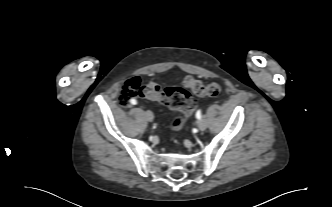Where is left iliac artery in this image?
<instances>
[{
    "mask_svg": "<svg viewBox=\"0 0 332 207\" xmlns=\"http://www.w3.org/2000/svg\"><path fill=\"white\" fill-rule=\"evenodd\" d=\"M201 117H202L201 111L198 110V111L196 112V118H197V119H201Z\"/></svg>",
    "mask_w": 332,
    "mask_h": 207,
    "instance_id": "1",
    "label": "left iliac artery"
}]
</instances>
